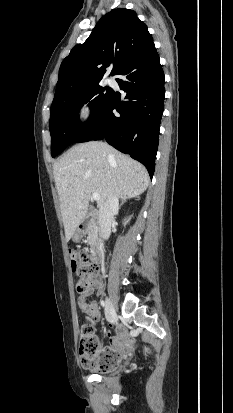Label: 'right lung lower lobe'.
I'll return each mask as SVG.
<instances>
[{"instance_id": "1", "label": "right lung lower lobe", "mask_w": 233, "mask_h": 413, "mask_svg": "<svg viewBox=\"0 0 233 413\" xmlns=\"http://www.w3.org/2000/svg\"><path fill=\"white\" fill-rule=\"evenodd\" d=\"M116 74L124 76L116 81L127 93L126 101L119 102L113 92L77 142L105 139L141 162L152 178L165 95L164 73L154 43L121 65ZM114 109L118 115H114Z\"/></svg>"}]
</instances>
